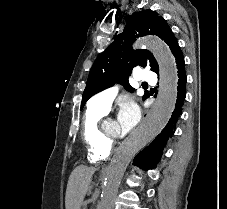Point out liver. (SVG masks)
Returning <instances> with one entry per match:
<instances>
[{"instance_id":"liver-1","label":"liver","mask_w":227,"mask_h":209,"mask_svg":"<svg viewBox=\"0 0 227 209\" xmlns=\"http://www.w3.org/2000/svg\"><path fill=\"white\" fill-rule=\"evenodd\" d=\"M94 171L92 167L80 165L71 173L65 197L66 209H80Z\"/></svg>"}]
</instances>
